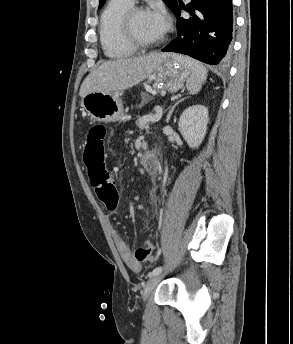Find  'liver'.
<instances>
[{
	"label": "liver",
	"instance_id": "obj_1",
	"mask_svg": "<svg viewBox=\"0 0 293 344\" xmlns=\"http://www.w3.org/2000/svg\"><path fill=\"white\" fill-rule=\"evenodd\" d=\"M168 53H152L146 56L117 59L101 64L91 72L81 85L79 95L92 92L114 93L129 89L149 77Z\"/></svg>",
	"mask_w": 293,
	"mask_h": 344
}]
</instances>
